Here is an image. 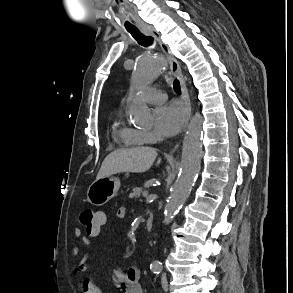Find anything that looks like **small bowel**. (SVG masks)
Returning <instances> with one entry per match:
<instances>
[{"instance_id": "small-bowel-1", "label": "small bowel", "mask_w": 293, "mask_h": 293, "mask_svg": "<svg viewBox=\"0 0 293 293\" xmlns=\"http://www.w3.org/2000/svg\"><path fill=\"white\" fill-rule=\"evenodd\" d=\"M125 213H126L125 208L121 207L117 211V216L119 218H124ZM98 215L101 218V225L98 230L92 231V232H89L86 230V235L83 234L82 229L79 227L75 228L74 230L75 236L87 246L91 245L92 237H97L100 235L101 227H103L107 222L105 213L98 212ZM72 251H73V254L75 255L79 254L80 252L79 246L77 245L74 246ZM90 258H91L90 253H84L82 258L79 260L77 264V270L80 272L85 271L89 266ZM140 280H141V274L139 269L136 267H130L126 270L117 269L113 275L114 284L121 290L122 293H143ZM94 286L98 287L91 279L84 280L81 285L82 291L84 293H92L91 291ZM99 293H101V290Z\"/></svg>"}]
</instances>
